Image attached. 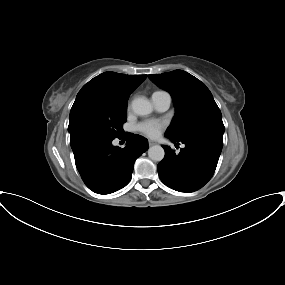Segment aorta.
<instances>
[{"label": "aorta", "instance_id": "762f6f07", "mask_svg": "<svg viewBox=\"0 0 285 285\" xmlns=\"http://www.w3.org/2000/svg\"><path fill=\"white\" fill-rule=\"evenodd\" d=\"M132 110L139 116H145L152 112V104L145 97L136 98L132 101ZM165 152L160 145H154L148 149V156L153 161H161Z\"/></svg>", "mask_w": 285, "mask_h": 285}]
</instances>
